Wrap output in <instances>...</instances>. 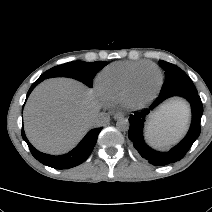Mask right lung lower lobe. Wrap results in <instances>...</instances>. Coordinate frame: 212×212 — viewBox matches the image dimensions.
<instances>
[{
	"label": "right lung lower lobe",
	"mask_w": 212,
	"mask_h": 212,
	"mask_svg": "<svg viewBox=\"0 0 212 212\" xmlns=\"http://www.w3.org/2000/svg\"><path fill=\"white\" fill-rule=\"evenodd\" d=\"M44 79L45 77L40 76L32 84L27 93V97L30 95L31 91L35 88V86L38 85L40 82H42ZM101 129L102 128H95L89 131L87 135L82 139V141L77 145L76 148H74L69 153L61 156L48 155L36 150L26 138L23 127H22V138L28 144L32 155L39 162L55 169H68L81 164L89 157L96 144Z\"/></svg>",
	"instance_id": "obj_1"
}]
</instances>
